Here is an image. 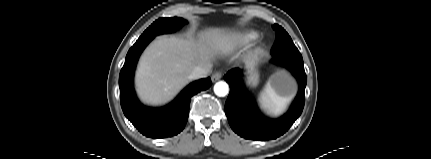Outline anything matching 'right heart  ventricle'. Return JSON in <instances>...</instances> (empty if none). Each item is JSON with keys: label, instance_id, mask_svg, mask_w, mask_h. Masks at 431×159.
<instances>
[{"label": "right heart ventricle", "instance_id": "1", "mask_svg": "<svg viewBox=\"0 0 431 159\" xmlns=\"http://www.w3.org/2000/svg\"><path fill=\"white\" fill-rule=\"evenodd\" d=\"M258 38V33L250 31L239 34L235 38V42L238 44H248Z\"/></svg>", "mask_w": 431, "mask_h": 159}]
</instances>
